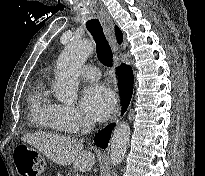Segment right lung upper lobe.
I'll list each match as a JSON object with an SVG mask.
<instances>
[{
	"label": "right lung upper lobe",
	"mask_w": 205,
	"mask_h": 176,
	"mask_svg": "<svg viewBox=\"0 0 205 176\" xmlns=\"http://www.w3.org/2000/svg\"><path fill=\"white\" fill-rule=\"evenodd\" d=\"M115 33H116V38H117L118 43L121 44L123 40V34L117 26H115Z\"/></svg>",
	"instance_id": "1"
}]
</instances>
